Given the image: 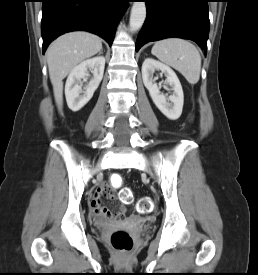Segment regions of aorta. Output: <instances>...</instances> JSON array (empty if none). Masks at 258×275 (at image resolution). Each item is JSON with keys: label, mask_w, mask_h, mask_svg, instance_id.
Segmentation results:
<instances>
[{"label": "aorta", "mask_w": 258, "mask_h": 275, "mask_svg": "<svg viewBox=\"0 0 258 275\" xmlns=\"http://www.w3.org/2000/svg\"><path fill=\"white\" fill-rule=\"evenodd\" d=\"M146 18V5L144 2H134L130 14V28L132 31L139 30Z\"/></svg>", "instance_id": "obj_1"}]
</instances>
